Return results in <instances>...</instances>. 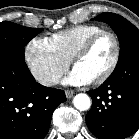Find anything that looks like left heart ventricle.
<instances>
[{
	"mask_svg": "<svg viewBox=\"0 0 139 139\" xmlns=\"http://www.w3.org/2000/svg\"><path fill=\"white\" fill-rule=\"evenodd\" d=\"M114 55V44L110 37H102L93 48L78 60L75 68L86 74L93 80L100 77Z\"/></svg>",
	"mask_w": 139,
	"mask_h": 139,
	"instance_id": "1",
	"label": "left heart ventricle"
}]
</instances>
